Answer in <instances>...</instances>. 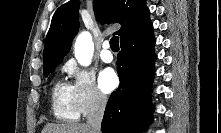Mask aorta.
<instances>
[{"instance_id":"aorta-1","label":"aorta","mask_w":221,"mask_h":133,"mask_svg":"<svg viewBox=\"0 0 221 133\" xmlns=\"http://www.w3.org/2000/svg\"><path fill=\"white\" fill-rule=\"evenodd\" d=\"M94 45L89 32H82L76 39L74 45V55L78 63L82 66H89L92 61Z\"/></svg>"}]
</instances>
